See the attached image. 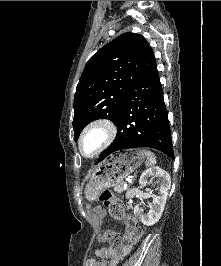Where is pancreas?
<instances>
[{
  "label": "pancreas",
  "mask_w": 221,
  "mask_h": 266,
  "mask_svg": "<svg viewBox=\"0 0 221 266\" xmlns=\"http://www.w3.org/2000/svg\"><path fill=\"white\" fill-rule=\"evenodd\" d=\"M126 189H127V187H125L124 183H121L120 185H117L114 187V191L116 193H123Z\"/></svg>",
  "instance_id": "pancreas-1"
}]
</instances>
